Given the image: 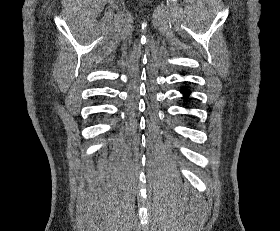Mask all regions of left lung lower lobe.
<instances>
[{"label":"left lung lower lobe","mask_w":280,"mask_h":231,"mask_svg":"<svg viewBox=\"0 0 280 231\" xmlns=\"http://www.w3.org/2000/svg\"><path fill=\"white\" fill-rule=\"evenodd\" d=\"M181 91L183 92V94H184L185 97H186L187 95H189V91H188L187 88L183 87V88L181 89Z\"/></svg>","instance_id":"obj_1"}]
</instances>
